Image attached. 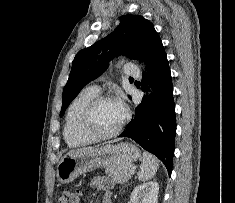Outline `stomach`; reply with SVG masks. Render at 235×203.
<instances>
[{
    "mask_svg": "<svg viewBox=\"0 0 235 203\" xmlns=\"http://www.w3.org/2000/svg\"><path fill=\"white\" fill-rule=\"evenodd\" d=\"M140 156V150L127 142L79 150L65 155L60 160L57 166V179L61 183H69L81 174L98 167L110 168L132 164Z\"/></svg>",
    "mask_w": 235,
    "mask_h": 203,
    "instance_id": "1",
    "label": "stomach"
}]
</instances>
